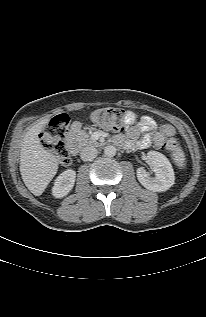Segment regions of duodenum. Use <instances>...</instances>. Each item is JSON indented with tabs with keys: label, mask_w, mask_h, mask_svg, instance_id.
<instances>
[{
	"label": "duodenum",
	"mask_w": 206,
	"mask_h": 317,
	"mask_svg": "<svg viewBox=\"0 0 206 317\" xmlns=\"http://www.w3.org/2000/svg\"><path fill=\"white\" fill-rule=\"evenodd\" d=\"M80 130H81V127L77 123L72 124L71 127H69L67 130L69 137L67 138L66 143H67V147L72 155H75L78 151L77 146H76L78 139H77L76 135H77V133L80 132Z\"/></svg>",
	"instance_id": "duodenum-1"
}]
</instances>
